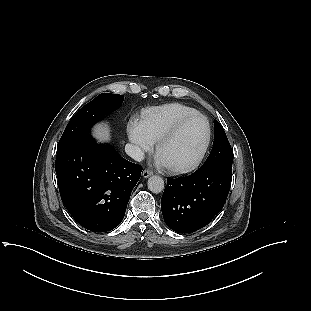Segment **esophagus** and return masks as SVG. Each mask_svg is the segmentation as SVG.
I'll list each match as a JSON object with an SVG mask.
<instances>
[{
  "mask_svg": "<svg viewBox=\"0 0 311 311\" xmlns=\"http://www.w3.org/2000/svg\"><path fill=\"white\" fill-rule=\"evenodd\" d=\"M152 175V172L150 171V170H144L143 171V173H142V176L144 177V178H148L149 176H151Z\"/></svg>",
  "mask_w": 311,
  "mask_h": 311,
  "instance_id": "1",
  "label": "esophagus"
}]
</instances>
